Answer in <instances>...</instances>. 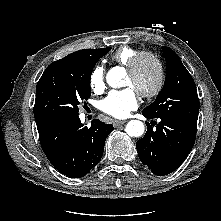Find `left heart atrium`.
Returning <instances> with one entry per match:
<instances>
[{"label": "left heart atrium", "mask_w": 221, "mask_h": 221, "mask_svg": "<svg viewBox=\"0 0 221 221\" xmlns=\"http://www.w3.org/2000/svg\"><path fill=\"white\" fill-rule=\"evenodd\" d=\"M137 106V93L132 87L111 91L100 103L101 110L115 118L127 117Z\"/></svg>", "instance_id": "left-heart-atrium-1"}]
</instances>
